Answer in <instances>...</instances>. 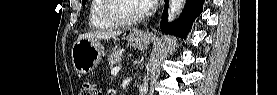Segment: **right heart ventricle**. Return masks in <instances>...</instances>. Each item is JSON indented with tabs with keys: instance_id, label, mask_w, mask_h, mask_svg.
Segmentation results:
<instances>
[{
	"instance_id": "e07e8e85",
	"label": "right heart ventricle",
	"mask_w": 277,
	"mask_h": 95,
	"mask_svg": "<svg viewBox=\"0 0 277 95\" xmlns=\"http://www.w3.org/2000/svg\"><path fill=\"white\" fill-rule=\"evenodd\" d=\"M107 0H92L89 14V25L94 29H112L117 24L103 16V7Z\"/></svg>"
}]
</instances>
